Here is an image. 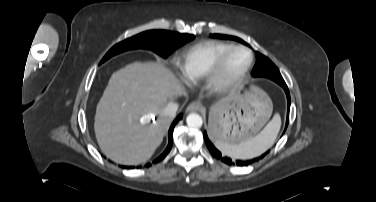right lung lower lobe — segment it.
<instances>
[{"mask_svg": "<svg viewBox=\"0 0 376 202\" xmlns=\"http://www.w3.org/2000/svg\"><path fill=\"white\" fill-rule=\"evenodd\" d=\"M182 118V115L179 114L178 117L173 121L170 129H169V143H168V146L167 148L165 149V151L163 152V154H161L158 158H156L154 160V163H157L159 161H161L171 150L172 148V144H173V130H174V127L176 125V123ZM124 168H127V169H131V168H134V167H124Z\"/></svg>", "mask_w": 376, "mask_h": 202, "instance_id": "right-lung-lower-lobe-1", "label": "right lung lower lobe"}]
</instances>
